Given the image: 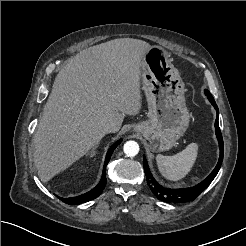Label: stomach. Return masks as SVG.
<instances>
[{
  "instance_id": "1",
  "label": "stomach",
  "mask_w": 246,
  "mask_h": 246,
  "mask_svg": "<svg viewBox=\"0 0 246 246\" xmlns=\"http://www.w3.org/2000/svg\"><path fill=\"white\" fill-rule=\"evenodd\" d=\"M141 77L148 120L136 124L134 131L148 140L152 151L169 150L189 125L184 82L160 46H152L144 54Z\"/></svg>"
}]
</instances>
